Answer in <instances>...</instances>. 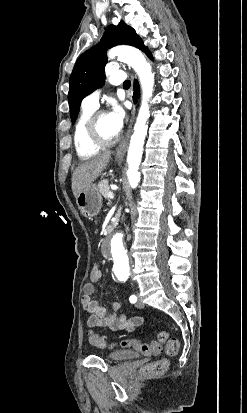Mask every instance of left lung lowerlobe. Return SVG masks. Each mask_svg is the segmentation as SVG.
<instances>
[{
	"label": "left lung lower lobe",
	"mask_w": 247,
	"mask_h": 413,
	"mask_svg": "<svg viewBox=\"0 0 247 413\" xmlns=\"http://www.w3.org/2000/svg\"><path fill=\"white\" fill-rule=\"evenodd\" d=\"M148 57H149L150 59H152V55H151V54H149ZM134 91H135V93H134V100H136L137 94H138V92H139V86H138V83H137L136 80L134 81Z\"/></svg>",
	"instance_id": "0a47b994"
}]
</instances>
